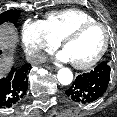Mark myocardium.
I'll use <instances>...</instances> for the list:
<instances>
[{
	"label": "myocardium",
	"instance_id": "1",
	"mask_svg": "<svg viewBox=\"0 0 117 117\" xmlns=\"http://www.w3.org/2000/svg\"><path fill=\"white\" fill-rule=\"evenodd\" d=\"M91 27H100L103 29V31L105 33V42H104L101 50L98 52V54L94 58L89 60L88 62H85V63L72 62L73 66L76 67L77 69H82V70L89 69V68L93 67L94 65H96L104 57V55L106 54V52L110 46V42H111V33H110L108 27L98 21L87 22V23L79 25L78 27H76L75 29H73L72 31L67 33L62 38V41H61L62 47L65 48L67 43L78 38L84 31H86L87 29H89Z\"/></svg>",
	"mask_w": 117,
	"mask_h": 117
}]
</instances>
